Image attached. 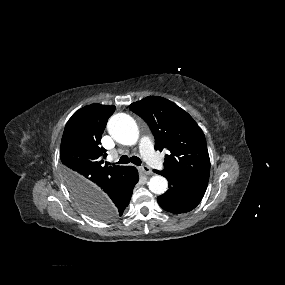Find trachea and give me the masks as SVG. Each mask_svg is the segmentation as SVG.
<instances>
[{
  "instance_id": "trachea-1",
  "label": "trachea",
  "mask_w": 285,
  "mask_h": 285,
  "mask_svg": "<svg viewBox=\"0 0 285 285\" xmlns=\"http://www.w3.org/2000/svg\"><path fill=\"white\" fill-rule=\"evenodd\" d=\"M133 163L137 166L141 165V160L140 158H138L137 156H132V157H128L127 155H123L120 157L119 161L117 162V164H127V163Z\"/></svg>"
}]
</instances>
